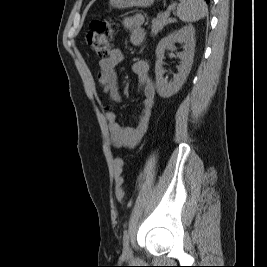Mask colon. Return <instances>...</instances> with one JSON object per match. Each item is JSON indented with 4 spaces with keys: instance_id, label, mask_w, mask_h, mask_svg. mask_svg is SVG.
Here are the masks:
<instances>
[{
    "instance_id": "obj_1",
    "label": "colon",
    "mask_w": 267,
    "mask_h": 267,
    "mask_svg": "<svg viewBox=\"0 0 267 267\" xmlns=\"http://www.w3.org/2000/svg\"><path fill=\"white\" fill-rule=\"evenodd\" d=\"M115 32L116 25L114 23L105 19H95L90 23L87 43L97 55L107 57L112 50V40ZM123 168L124 160L119 157L115 158V196L120 202L124 200L123 178L121 176Z\"/></svg>"
}]
</instances>
